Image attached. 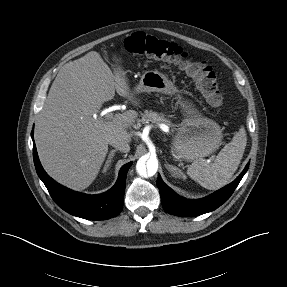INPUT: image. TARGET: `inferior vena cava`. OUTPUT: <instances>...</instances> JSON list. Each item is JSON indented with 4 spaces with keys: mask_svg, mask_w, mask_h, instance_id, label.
I'll list each match as a JSON object with an SVG mask.
<instances>
[{
    "mask_svg": "<svg viewBox=\"0 0 287 287\" xmlns=\"http://www.w3.org/2000/svg\"><path fill=\"white\" fill-rule=\"evenodd\" d=\"M109 144L122 152H128L130 150L128 142L120 137H111Z\"/></svg>",
    "mask_w": 287,
    "mask_h": 287,
    "instance_id": "inferior-vena-cava-1",
    "label": "inferior vena cava"
}]
</instances>
